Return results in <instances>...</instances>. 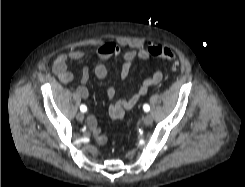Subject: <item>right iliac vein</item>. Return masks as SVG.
<instances>
[{
  "mask_svg": "<svg viewBox=\"0 0 245 187\" xmlns=\"http://www.w3.org/2000/svg\"><path fill=\"white\" fill-rule=\"evenodd\" d=\"M77 120L82 122L84 120V114L83 113H78L76 116Z\"/></svg>",
  "mask_w": 245,
  "mask_h": 187,
  "instance_id": "1",
  "label": "right iliac vein"
}]
</instances>
